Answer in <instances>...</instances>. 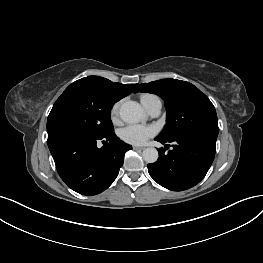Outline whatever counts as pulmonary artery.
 <instances>
[{
  "instance_id": "1",
  "label": "pulmonary artery",
  "mask_w": 263,
  "mask_h": 263,
  "mask_svg": "<svg viewBox=\"0 0 263 263\" xmlns=\"http://www.w3.org/2000/svg\"><path fill=\"white\" fill-rule=\"evenodd\" d=\"M146 111L151 115V116H158L161 112L162 109V102L159 97L157 96H152L150 97L147 101L142 103Z\"/></svg>"
}]
</instances>
